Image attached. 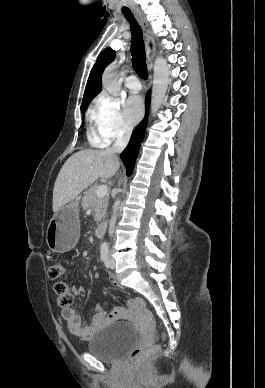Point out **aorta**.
I'll return each instance as SVG.
<instances>
[{
  "mask_svg": "<svg viewBox=\"0 0 265 388\" xmlns=\"http://www.w3.org/2000/svg\"><path fill=\"white\" fill-rule=\"evenodd\" d=\"M116 65H111L104 71L102 76L103 87L112 95H117L120 90V84L117 80ZM169 84V66L165 59L157 57L154 61V77L151 98V111L155 114L165 97ZM120 200L114 204V212L118 210Z\"/></svg>",
  "mask_w": 265,
  "mask_h": 388,
  "instance_id": "762f6f07",
  "label": "aorta"
}]
</instances>
